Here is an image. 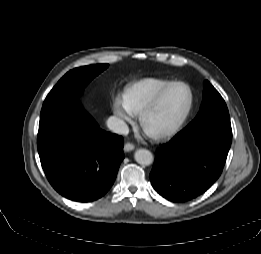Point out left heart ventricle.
I'll list each match as a JSON object with an SVG mask.
<instances>
[{"instance_id":"1","label":"left heart ventricle","mask_w":261,"mask_h":254,"mask_svg":"<svg viewBox=\"0 0 261 254\" xmlns=\"http://www.w3.org/2000/svg\"><path fill=\"white\" fill-rule=\"evenodd\" d=\"M190 101L189 91L182 85L172 87L164 96L158 108L149 116L150 130L174 125L185 113Z\"/></svg>"}]
</instances>
